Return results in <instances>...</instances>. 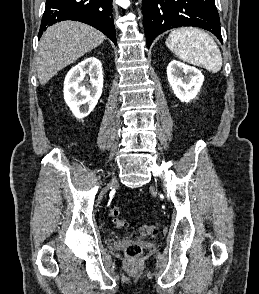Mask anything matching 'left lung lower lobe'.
<instances>
[{
  "label": "left lung lower lobe",
  "instance_id": "1",
  "mask_svg": "<svg viewBox=\"0 0 259 294\" xmlns=\"http://www.w3.org/2000/svg\"><path fill=\"white\" fill-rule=\"evenodd\" d=\"M142 12L148 48L159 34L181 26L208 30L222 43L214 0H143Z\"/></svg>",
  "mask_w": 259,
  "mask_h": 294
}]
</instances>
